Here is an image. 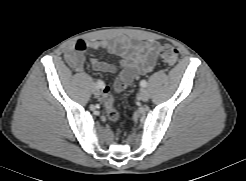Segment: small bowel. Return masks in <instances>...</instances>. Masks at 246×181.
Wrapping results in <instances>:
<instances>
[{"instance_id": "small-bowel-1", "label": "small bowel", "mask_w": 246, "mask_h": 181, "mask_svg": "<svg viewBox=\"0 0 246 181\" xmlns=\"http://www.w3.org/2000/svg\"><path fill=\"white\" fill-rule=\"evenodd\" d=\"M87 49L104 50L107 54L120 58L119 75L115 88L117 91H122L135 77L151 72L155 68L160 45L155 41H130L126 37H120L113 42L77 39L65 55L66 61L76 72L83 71ZM91 66L100 72L114 73L117 71V67L113 64L98 59H92ZM103 89H105V84Z\"/></svg>"}]
</instances>
